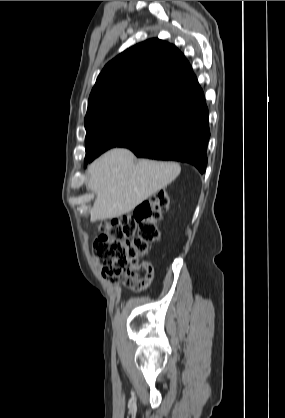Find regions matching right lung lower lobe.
<instances>
[{
	"label": "right lung lower lobe",
	"instance_id": "98d812e1",
	"mask_svg": "<svg viewBox=\"0 0 285 418\" xmlns=\"http://www.w3.org/2000/svg\"><path fill=\"white\" fill-rule=\"evenodd\" d=\"M209 138V112L201 91L171 107L157 122L119 147L130 149L137 157L189 163L204 173Z\"/></svg>",
	"mask_w": 285,
	"mask_h": 418
}]
</instances>
